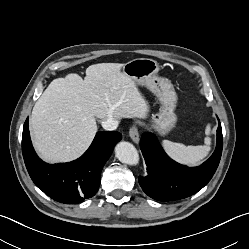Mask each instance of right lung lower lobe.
Returning <instances> with one entry per match:
<instances>
[{
    "label": "right lung lower lobe",
    "mask_w": 249,
    "mask_h": 249,
    "mask_svg": "<svg viewBox=\"0 0 249 249\" xmlns=\"http://www.w3.org/2000/svg\"><path fill=\"white\" fill-rule=\"evenodd\" d=\"M121 139L122 135L116 131L97 132L92 144L80 158L51 165L36 155L27 119L23 127L22 153L28 173L40 190L58 202L74 204L96 194L102 168Z\"/></svg>",
    "instance_id": "right-lung-lower-lobe-1"
}]
</instances>
